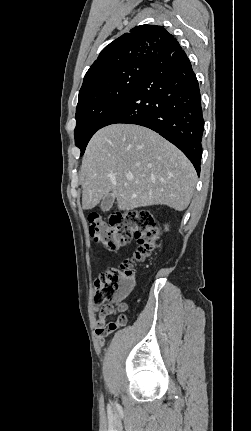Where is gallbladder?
<instances>
[{"instance_id": "1", "label": "gallbladder", "mask_w": 251, "mask_h": 431, "mask_svg": "<svg viewBox=\"0 0 251 431\" xmlns=\"http://www.w3.org/2000/svg\"><path fill=\"white\" fill-rule=\"evenodd\" d=\"M114 200H115V198L111 194L106 195L102 199V202H101V205H100L101 210L103 212L109 211L112 208V206H113Z\"/></svg>"}]
</instances>
